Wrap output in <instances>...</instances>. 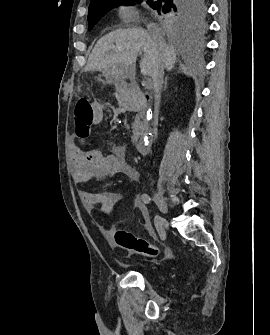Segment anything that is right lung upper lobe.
<instances>
[{"mask_svg":"<svg viewBox=\"0 0 270 335\" xmlns=\"http://www.w3.org/2000/svg\"><path fill=\"white\" fill-rule=\"evenodd\" d=\"M118 1L120 0H91L89 7L99 6V5L107 4V3H114Z\"/></svg>","mask_w":270,"mask_h":335,"instance_id":"obj_1","label":"right lung upper lobe"}]
</instances>
